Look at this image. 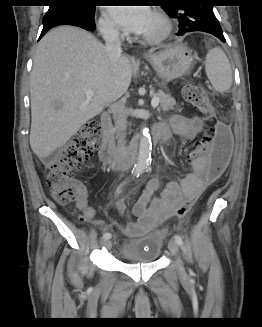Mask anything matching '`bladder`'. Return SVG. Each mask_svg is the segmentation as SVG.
<instances>
[{"mask_svg":"<svg viewBox=\"0 0 262 327\" xmlns=\"http://www.w3.org/2000/svg\"><path fill=\"white\" fill-rule=\"evenodd\" d=\"M120 247V257L129 263H154L160 258L166 234L152 231L143 236H132Z\"/></svg>","mask_w":262,"mask_h":327,"instance_id":"31cf9c89","label":"bladder"}]
</instances>
